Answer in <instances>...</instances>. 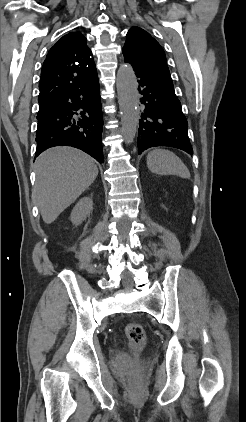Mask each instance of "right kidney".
<instances>
[{
    "mask_svg": "<svg viewBox=\"0 0 246 422\" xmlns=\"http://www.w3.org/2000/svg\"><path fill=\"white\" fill-rule=\"evenodd\" d=\"M93 209V201L90 197H84L80 199L75 207L73 208L70 216V220L74 225H79L84 221L91 213Z\"/></svg>",
    "mask_w": 246,
    "mask_h": 422,
    "instance_id": "ca27d5eb",
    "label": "right kidney"
}]
</instances>
